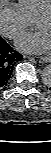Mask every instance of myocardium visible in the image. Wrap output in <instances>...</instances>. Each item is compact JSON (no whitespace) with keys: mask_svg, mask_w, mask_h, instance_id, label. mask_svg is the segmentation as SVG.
I'll return each instance as SVG.
<instances>
[{"mask_svg":"<svg viewBox=\"0 0 51 153\" xmlns=\"http://www.w3.org/2000/svg\"><path fill=\"white\" fill-rule=\"evenodd\" d=\"M45 18H51V5H50L48 8L44 9L43 11H41V12L35 17V19H34L35 25L37 26V24H38L41 20H43V19H45Z\"/></svg>","mask_w":51,"mask_h":153,"instance_id":"1","label":"myocardium"}]
</instances>
